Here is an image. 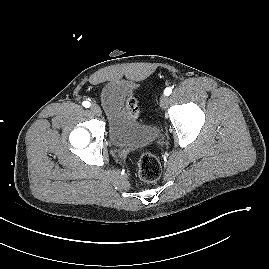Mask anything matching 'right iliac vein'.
Segmentation results:
<instances>
[{
	"label": "right iliac vein",
	"mask_w": 269,
	"mask_h": 269,
	"mask_svg": "<svg viewBox=\"0 0 269 269\" xmlns=\"http://www.w3.org/2000/svg\"><path fill=\"white\" fill-rule=\"evenodd\" d=\"M90 110L97 116H100L102 114L100 107L96 104H92Z\"/></svg>",
	"instance_id": "right-iliac-vein-1"
}]
</instances>
